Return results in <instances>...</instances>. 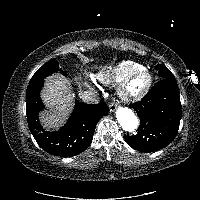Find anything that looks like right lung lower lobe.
Returning <instances> with one entry per match:
<instances>
[{"label": "right lung lower lobe", "mask_w": 200, "mask_h": 200, "mask_svg": "<svg viewBox=\"0 0 200 200\" xmlns=\"http://www.w3.org/2000/svg\"><path fill=\"white\" fill-rule=\"evenodd\" d=\"M44 80L29 83L26 91V113L29 129L38 145L55 156H74L83 152L92 142L98 121L109 109L105 103L86 104L76 102L67 124L58 132L48 133L38 121V113L44 108L40 90Z\"/></svg>", "instance_id": "right-lung-lower-lobe-1"}]
</instances>
